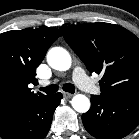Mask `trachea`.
<instances>
[{
    "instance_id": "3493384b",
    "label": "trachea",
    "mask_w": 139,
    "mask_h": 139,
    "mask_svg": "<svg viewBox=\"0 0 139 139\" xmlns=\"http://www.w3.org/2000/svg\"><path fill=\"white\" fill-rule=\"evenodd\" d=\"M41 91L45 92L47 95L56 93L58 91V86L56 84H51L47 87L40 88ZM63 90L69 93L75 92V87L71 83H66L63 85Z\"/></svg>"
}]
</instances>
